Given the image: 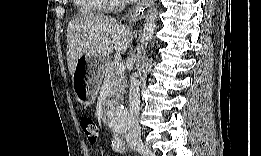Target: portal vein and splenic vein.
Here are the masks:
<instances>
[{
  "label": "portal vein and splenic vein",
  "mask_w": 261,
  "mask_h": 156,
  "mask_svg": "<svg viewBox=\"0 0 261 156\" xmlns=\"http://www.w3.org/2000/svg\"><path fill=\"white\" fill-rule=\"evenodd\" d=\"M114 71H115L116 73L124 72V71H125V65H123L122 63H117V64L114 66Z\"/></svg>",
  "instance_id": "1"
}]
</instances>
